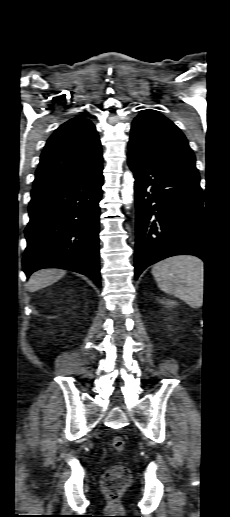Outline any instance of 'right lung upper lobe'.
<instances>
[{
    "mask_svg": "<svg viewBox=\"0 0 230 517\" xmlns=\"http://www.w3.org/2000/svg\"><path fill=\"white\" fill-rule=\"evenodd\" d=\"M95 130L84 117L62 124L44 147L33 188L67 182L101 167V143Z\"/></svg>",
    "mask_w": 230,
    "mask_h": 517,
    "instance_id": "cb5924a9",
    "label": "right lung upper lobe"
}]
</instances>
